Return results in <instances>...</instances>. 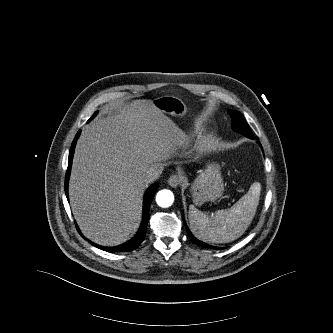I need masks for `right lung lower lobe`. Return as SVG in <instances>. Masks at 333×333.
Returning a JSON list of instances; mask_svg holds the SVG:
<instances>
[{
  "label": "right lung lower lobe",
  "instance_id": "1",
  "mask_svg": "<svg viewBox=\"0 0 333 333\" xmlns=\"http://www.w3.org/2000/svg\"><path fill=\"white\" fill-rule=\"evenodd\" d=\"M79 135H80V131L76 134V136L72 142L70 153H69L68 169H67L66 178H65V193H66L67 198H68V180H69V175H70L72 158H73V154H74L75 144H76V141H77V138L79 137ZM157 189H158V184L155 183L147 190V192L145 194L144 204H143V219H142L140 229L134 238H132L131 240L127 241L126 243L116 246V247H102L91 241H89V242L92 245L96 246L97 248L102 249L107 252H126V251H131V250H134L135 248H137L145 237L146 230H147V224H148V220H149V208H150L151 202L153 200V197H154ZM78 231H79V229H78Z\"/></svg>",
  "mask_w": 333,
  "mask_h": 333
}]
</instances>
